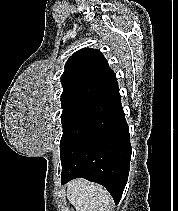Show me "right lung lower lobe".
<instances>
[{
  "label": "right lung lower lobe",
  "mask_w": 178,
  "mask_h": 211,
  "mask_svg": "<svg viewBox=\"0 0 178 211\" xmlns=\"http://www.w3.org/2000/svg\"><path fill=\"white\" fill-rule=\"evenodd\" d=\"M132 148L119 91L98 101L60 145L61 184L85 178L103 185L119 203Z\"/></svg>",
  "instance_id": "1"
}]
</instances>
